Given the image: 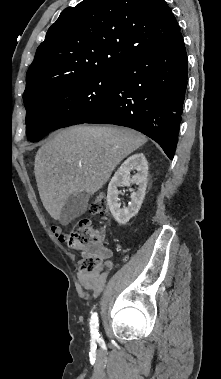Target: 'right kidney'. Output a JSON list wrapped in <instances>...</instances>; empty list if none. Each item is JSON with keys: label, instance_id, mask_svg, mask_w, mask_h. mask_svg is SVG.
<instances>
[{"label": "right kidney", "instance_id": "obj_1", "mask_svg": "<svg viewBox=\"0 0 221 379\" xmlns=\"http://www.w3.org/2000/svg\"><path fill=\"white\" fill-rule=\"evenodd\" d=\"M132 169H136L137 174L131 178L130 171ZM147 177L148 163L143 153H137L127 158L112 177L108 185L107 202L114 219L120 225L126 224L141 208L147 187ZM131 184L138 185V188L131 193V202L128 206L121 208L118 187Z\"/></svg>", "mask_w": 221, "mask_h": 379}]
</instances>
